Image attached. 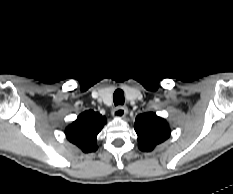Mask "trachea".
Masks as SVG:
<instances>
[{
    "mask_svg": "<svg viewBox=\"0 0 233 194\" xmlns=\"http://www.w3.org/2000/svg\"><path fill=\"white\" fill-rule=\"evenodd\" d=\"M113 102L115 106L124 104V92L121 89H117L113 94Z\"/></svg>",
    "mask_w": 233,
    "mask_h": 194,
    "instance_id": "obj_1",
    "label": "trachea"
}]
</instances>
